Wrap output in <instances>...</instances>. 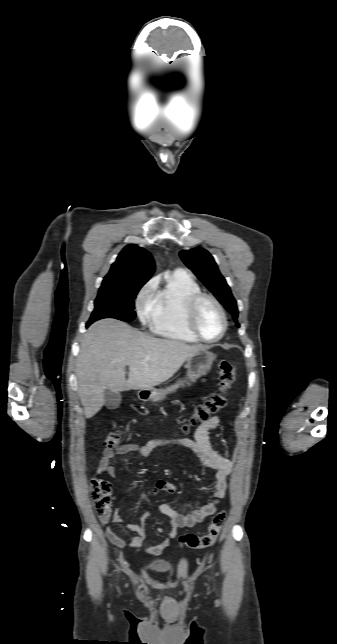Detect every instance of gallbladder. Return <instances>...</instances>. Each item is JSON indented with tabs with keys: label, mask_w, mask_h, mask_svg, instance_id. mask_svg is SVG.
<instances>
[{
	"label": "gallbladder",
	"mask_w": 337,
	"mask_h": 644,
	"mask_svg": "<svg viewBox=\"0 0 337 644\" xmlns=\"http://www.w3.org/2000/svg\"><path fill=\"white\" fill-rule=\"evenodd\" d=\"M105 406L107 409L114 410L119 407L121 403L120 393L112 392L111 390H105L104 392Z\"/></svg>",
	"instance_id": "gallbladder-1"
}]
</instances>
